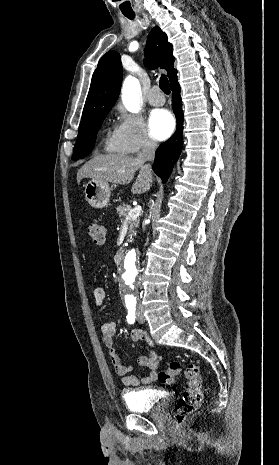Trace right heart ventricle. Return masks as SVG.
<instances>
[{
    "label": "right heart ventricle",
    "mask_w": 279,
    "mask_h": 465,
    "mask_svg": "<svg viewBox=\"0 0 279 465\" xmlns=\"http://www.w3.org/2000/svg\"><path fill=\"white\" fill-rule=\"evenodd\" d=\"M104 150L108 152H120L124 153L125 151L118 145V143L114 140L113 135L108 137L105 144Z\"/></svg>",
    "instance_id": "1"
}]
</instances>
